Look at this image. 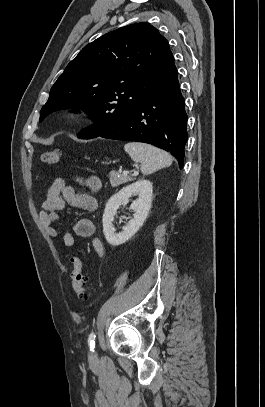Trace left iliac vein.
<instances>
[{"instance_id":"left-iliac-vein-1","label":"left iliac vein","mask_w":265,"mask_h":407,"mask_svg":"<svg viewBox=\"0 0 265 407\" xmlns=\"http://www.w3.org/2000/svg\"><path fill=\"white\" fill-rule=\"evenodd\" d=\"M91 358H94V355H93V354L91 355Z\"/></svg>"}]
</instances>
